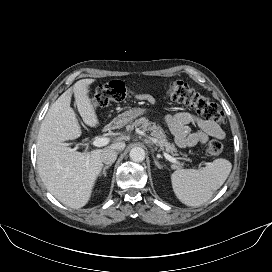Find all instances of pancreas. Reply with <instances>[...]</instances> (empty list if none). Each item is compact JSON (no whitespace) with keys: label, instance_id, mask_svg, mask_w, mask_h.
<instances>
[{"label":"pancreas","instance_id":"1","mask_svg":"<svg viewBox=\"0 0 272 272\" xmlns=\"http://www.w3.org/2000/svg\"><path fill=\"white\" fill-rule=\"evenodd\" d=\"M134 127H139L143 131L150 132V141L160 147V149H165L173 155H178L175 145L171 144L167 140V136L161 126L156 125V123L150 122L148 119L143 117L135 120L131 125H129V129H133ZM174 168H179V166L175 165Z\"/></svg>","mask_w":272,"mask_h":272}]
</instances>
